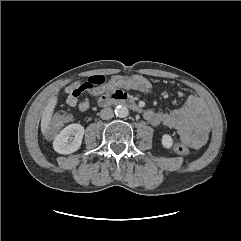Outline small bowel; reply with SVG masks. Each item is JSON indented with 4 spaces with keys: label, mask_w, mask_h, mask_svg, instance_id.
<instances>
[{
    "label": "small bowel",
    "mask_w": 241,
    "mask_h": 241,
    "mask_svg": "<svg viewBox=\"0 0 241 241\" xmlns=\"http://www.w3.org/2000/svg\"><path fill=\"white\" fill-rule=\"evenodd\" d=\"M140 76V75H139ZM71 86L66 87L67 104L77 106L80 112H86L90 103L88 99H80L71 95ZM183 96V93H179ZM144 118L152 125H164L177 131L182 143L190 148L202 147L210 129V118L202 100L194 95L187 97L184 105L174 111L148 109L144 111Z\"/></svg>",
    "instance_id": "small-bowel-1"
}]
</instances>
